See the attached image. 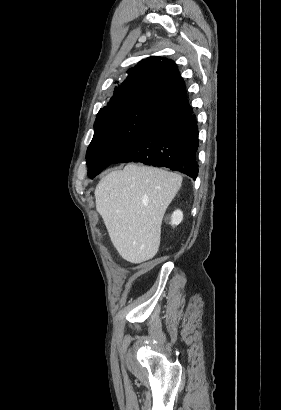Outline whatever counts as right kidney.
Instances as JSON below:
<instances>
[{
  "mask_svg": "<svg viewBox=\"0 0 281 410\" xmlns=\"http://www.w3.org/2000/svg\"><path fill=\"white\" fill-rule=\"evenodd\" d=\"M168 222L171 223V225H178L182 222L183 220V213L181 210H175L173 214L170 217H166Z\"/></svg>",
  "mask_w": 281,
  "mask_h": 410,
  "instance_id": "right-kidney-1",
  "label": "right kidney"
}]
</instances>
